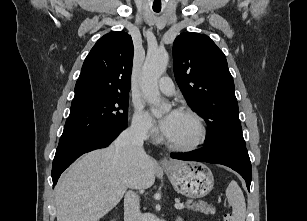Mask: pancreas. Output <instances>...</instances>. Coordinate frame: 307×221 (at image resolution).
<instances>
[{"label": "pancreas", "instance_id": "1", "mask_svg": "<svg viewBox=\"0 0 307 221\" xmlns=\"http://www.w3.org/2000/svg\"><path fill=\"white\" fill-rule=\"evenodd\" d=\"M187 208L191 209L193 211H200L204 214H215V208L209 204H207L206 202L203 201H197V202H192L190 200H188L186 202Z\"/></svg>", "mask_w": 307, "mask_h": 221}]
</instances>
